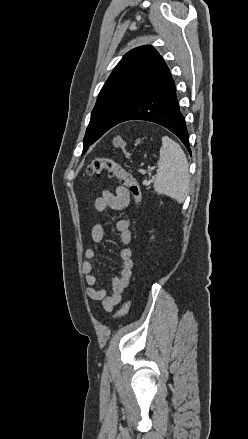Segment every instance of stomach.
<instances>
[{
	"label": "stomach",
	"mask_w": 248,
	"mask_h": 439,
	"mask_svg": "<svg viewBox=\"0 0 248 439\" xmlns=\"http://www.w3.org/2000/svg\"><path fill=\"white\" fill-rule=\"evenodd\" d=\"M140 143V140L136 141V145Z\"/></svg>",
	"instance_id": "0dacf381"
}]
</instances>
